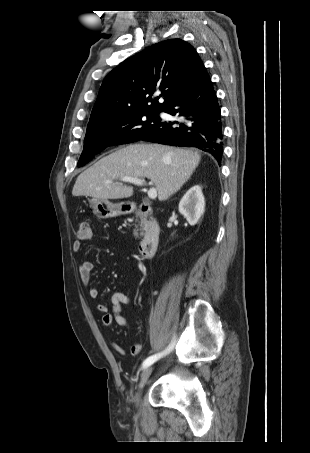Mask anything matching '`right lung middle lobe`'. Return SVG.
<instances>
[{
    "instance_id": "dd1d6c3e",
    "label": "right lung middle lobe",
    "mask_w": 310,
    "mask_h": 453,
    "mask_svg": "<svg viewBox=\"0 0 310 453\" xmlns=\"http://www.w3.org/2000/svg\"><path fill=\"white\" fill-rule=\"evenodd\" d=\"M161 111H135L89 125L78 167L89 162L94 155L108 146L140 140L161 121L158 115Z\"/></svg>"
}]
</instances>
